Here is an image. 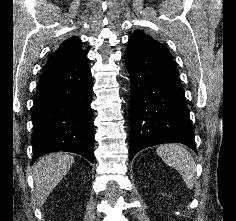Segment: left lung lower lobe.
Segmentation results:
<instances>
[{
	"instance_id": "0a47b994",
	"label": "left lung lower lobe",
	"mask_w": 236,
	"mask_h": 221,
	"mask_svg": "<svg viewBox=\"0 0 236 221\" xmlns=\"http://www.w3.org/2000/svg\"><path fill=\"white\" fill-rule=\"evenodd\" d=\"M125 60L131 82L130 159L144 148L169 142L196 151L185 92L168 49L137 30L128 41Z\"/></svg>"
}]
</instances>
